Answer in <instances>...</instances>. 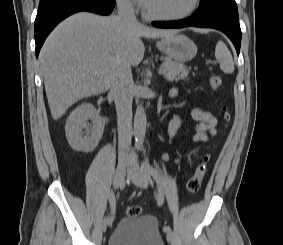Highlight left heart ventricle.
Wrapping results in <instances>:
<instances>
[{"label":"left heart ventricle","mask_w":283,"mask_h":245,"mask_svg":"<svg viewBox=\"0 0 283 245\" xmlns=\"http://www.w3.org/2000/svg\"><path fill=\"white\" fill-rule=\"evenodd\" d=\"M192 0H148L144 6L149 12L159 15H177L190 7Z\"/></svg>","instance_id":"obj_1"}]
</instances>
